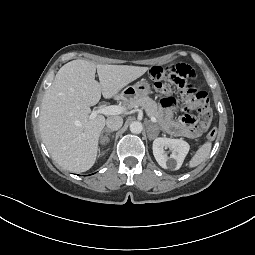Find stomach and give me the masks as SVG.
<instances>
[{"mask_svg":"<svg viewBox=\"0 0 255 255\" xmlns=\"http://www.w3.org/2000/svg\"><path fill=\"white\" fill-rule=\"evenodd\" d=\"M149 93H151V86L146 80H141L137 82L133 86L126 87L122 93V97L127 98H137V97H143L147 96Z\"/></svg>","mask_w":255,"mask_h":255,"instance_id":"obj_1","label":"stomach"}]
</instances>
